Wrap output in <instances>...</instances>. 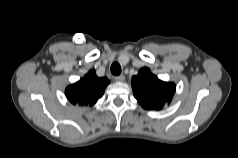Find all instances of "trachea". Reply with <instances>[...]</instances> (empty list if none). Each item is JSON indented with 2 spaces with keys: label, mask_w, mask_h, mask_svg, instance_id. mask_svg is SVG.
<instances>
[{
  "label": "trachea",
  "mask_w": 238,
  "mask_h": 158,
  "mask_svg": "<svg viewBox=\"0 0 238 158\" xmlns=\"http://www.w3.org/2000/svg\"><path fill=\"white\" fill-rule=\"evenodd\" d=\"M111 72L113 75H120L121 66L119 65V63L115 62L111 65Z\"/></svg>",
  "instance_id": "obj_1"
}]
</instances>
